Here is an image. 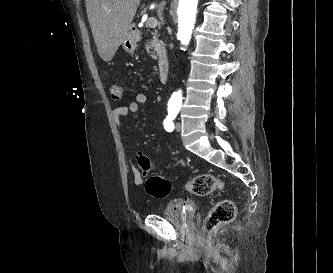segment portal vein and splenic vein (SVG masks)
<instances>
[{
  "mask_svg": "<svg viewBox=\"0 0 333 273\" xmlns=\"http://www.w3.org/2000/svg\"><path fill=\"white\" fill-rule=\"evenodd\" d=\"M157 25H158V21L154 17H150L146 22V26L151 27V28H155Z\"/></svg>",
  "mask_w": 333,
  "mask_h": 273,
  "instance_id": "1",
  "label": "portal vein and splenic vein"
}]
</instances>
